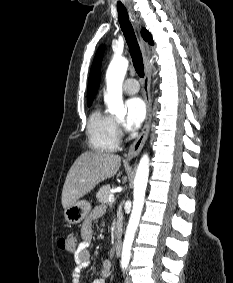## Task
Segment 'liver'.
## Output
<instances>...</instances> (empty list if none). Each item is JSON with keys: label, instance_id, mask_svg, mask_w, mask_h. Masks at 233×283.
<instances>
[{"label": "liver", "instance_id": "obj_1", "mask_svg": "<svg viewBox=\"0 0 233 283\" xmlns=\"http://www.w3.org/2000/svg\"><path fill=\"white\" fill-rule=\"evenodd\" d=\"M121 157L101 151L82 153L71 166L62 190L64 209L91 192L100 182L113 177L119 171ZM121 173H118L120 176Z\"/></svg>", "mask_w": 233, "mask_h": 283}]
</instances>
